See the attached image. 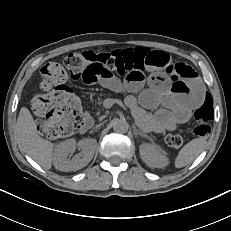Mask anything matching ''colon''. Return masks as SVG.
Masks as SVG:
<instances>
[{
	"label": "colon",
	"instance_id": "obj_1",
	"mask_svg": "<svg viewBox=\"0 0 231 231\" xmlns=\"http://www.w3.org/2000/svg\"><path fill=\"white\" fill-rule=\"evenodd\" d=\"M155 61L160 62L163 70L170 75L174 90H190L187 76L179 64L172 63L167 54L152 55L147 48H131L106 52L79 51L70 53L64 59V65L56 62L45 64L40 70V92L36 94L31 107L34 113L43 118L38 125L39 132L49 139L73 134L83 124V112L77 98L65 85L67 79H79L92 64L104 66L120 74L142 71ZM213 118L212 101L209 94L204 95L203 104L194 112V134L206 137L210 132L209 123ZM168 146L181 148L184 139L178 134H168L165 138Z\"/></svg>",
	"mask_w": 231,
	"mask_h": 231
}]
</instances>
